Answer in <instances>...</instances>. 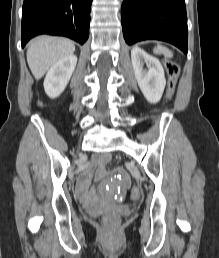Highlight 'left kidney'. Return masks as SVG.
<instances>
[{"label":"left kidney","instance_id":"obj_1","mask_svg":"<svg viewBox=\"0 0 219 258\" xmlns=\"http://www.w3.org/2000/svg\"><path fill=\"white\" fill-rule=\"evenodd\" d=\"M131 60L136 80L144 97L150 103L159 102L166 85L164 69L160 61L139 47L132 48ZM144 63L147 65V70L143 69Z\"/></svg>","mask_w":219,"mask_h":258}]
</instances>
